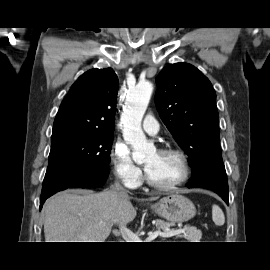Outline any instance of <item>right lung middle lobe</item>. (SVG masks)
<instances>
[{
	"mask_svg": "<svg viewBox=\"0 0 270 270\" xmlns=\"http://www.w3.org/2000/svg\"><path fill=\"white\" fill-rule=\"evenodd\" d=\"M113 132L65 128L52 131L46 174L70 164L88 172H109Z\"/></svg>",
	"mask_w": 270,
	"mask_h": 270,
	"instance_id": "dd1d6c3e",
	"label": "right lung middle lobe"
}]
</instances>
